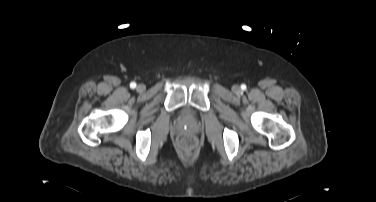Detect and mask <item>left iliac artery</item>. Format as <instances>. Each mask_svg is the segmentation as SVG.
I'll list each match as a JSON object with an SVG mask.
<instances>
[{
  "instance_id": "44dca946",
  "label": "left iliac artery",
  "mask_w": 376,
  "mask_h": 202,
  "mask_svg": "<svg viewBox=\"0 0 376 202\" xmlns=\"http://www.w3.org/2000/svg\"><path fill=\"white\" fill-rule=\"evenodd\" d=\"M241 89H242V90H246V85H245V84H242V85H241Z\"/></svg>"
}]
</instances>
